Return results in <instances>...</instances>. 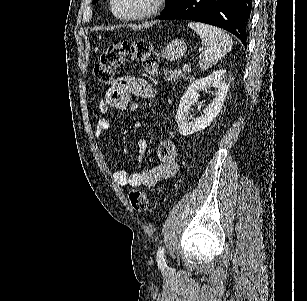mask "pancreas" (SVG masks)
Returning <instances> with one entry per match:
<instances>
[{
  "instance_id": "pancreas-1",
  "label": "pancreas",
  "mask_w": 307,
  "mask_h": 301,
  "mask_svg": "<svg viewBox=\"0 0 307 301\" xmlns=\"http://www.w3.org/2000/svg\"><path fill=\"white\" fill-rule=\"evenodd\" d=\"M187 72L183 70H165L164 78L169 80V82H178L180 78H190L192 80L193 76H186Z\"/></svg>"
}]
</instances>
